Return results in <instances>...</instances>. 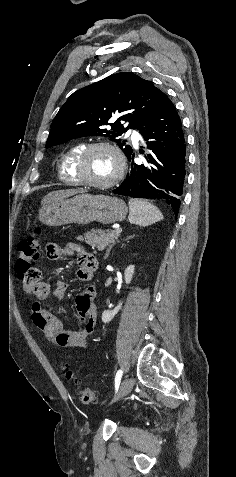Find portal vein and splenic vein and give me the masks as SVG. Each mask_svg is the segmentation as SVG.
<instances>
[{
  "label": "portal vein and splenic vein",
  "instance_id": "portal-vein-and-splenic-vein-1",
  "mask_svg": "<svg viewBox=\"0 0 236 477\" xmlns=\"http://www.w3.org/2000/svg\"><path fill=\"white\" fill-rule=\"evenodd\" d=\"M121 232H122V229H121V228H117V229L115 230V233H116V234H120Z\"/></svg>",
  "mask_w": 236,
  "mask_h": 477
}]
</instances>
